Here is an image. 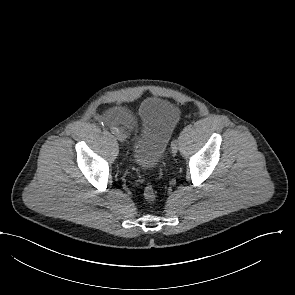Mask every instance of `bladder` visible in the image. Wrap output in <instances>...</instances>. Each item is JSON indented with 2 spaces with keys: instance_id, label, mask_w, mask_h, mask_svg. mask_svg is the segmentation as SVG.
I'll list each match as a JSON object with an SVG mask.
<instances>
[{
  "instance_id": "1",
  "label": "bladder",
  "mask_w": 295,
  "mask_h": 295,
  "mask_svg": "<svg viewBox=\"0 0 295 295\" xmlns=\"http://www.w3.org/2000/svg\"><path fill=\"white\" fill-rule=\"evenodd\" d=\"M136 119L138 127L133 136V158L141 168L151 170L159 164L166 150L179 111L172 102L151 97L140 105Z\"/></svg>"
}]
</instances>
